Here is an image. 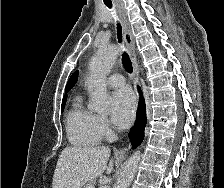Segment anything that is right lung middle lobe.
<instances>
[{"label":"right lung middle lobe","mask_w":224,"mask_h":188,"mask_svg":"<svg viewBox=\"0 0 224 188\" xmlns=\"http://www.w3.org/2000/svg\"><path fill=\"white\" fill-rule=\"evenodd\" d=\"M65 103H66V102H62V108H61V111H63L64 106H65Z\"/></svg>","instance_id":"obj_1"}]
</instances>
